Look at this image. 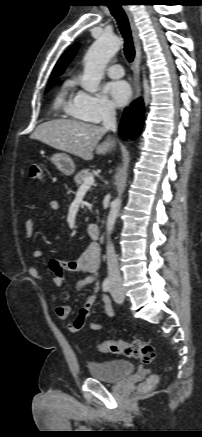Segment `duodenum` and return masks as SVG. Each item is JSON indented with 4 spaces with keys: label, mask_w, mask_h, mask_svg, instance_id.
<instances>
[{
    "label": "duodenum",
    "mask_w": 202,
    "mask_h": 437,
    "mask_svg": "<svg viewBox=\"0 0 202 437\" xmlns=\"http://www.w3.org/2000/svg\"><path fill=\"white\" fill-rule=\"evenodd\" d=\"M87 234L92 239H97L99 236V226L96 223H90L87 226Z\"/></svg>",
    "instance_id": "410a0bca"
}]
</instances>
